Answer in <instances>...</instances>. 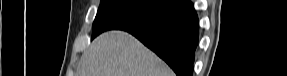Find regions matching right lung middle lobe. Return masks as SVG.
<instances>
[{
  "mask_svg": "<svg viewBox=\"0 0 287 76\" xmlns=\"http://www.w3.org/2000/svg\"><path fill=\"white\" fill-rule=\"evenodd\" d=\"M174 4V0H101L91 39L108 30L140 29Z\"/></svg>",
  "mask_w": 287,
  "mask_h": 76,
  "instance_id": "1",
  "label": "right lung middle lobe"
}]
</instances>
